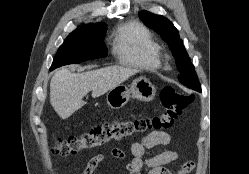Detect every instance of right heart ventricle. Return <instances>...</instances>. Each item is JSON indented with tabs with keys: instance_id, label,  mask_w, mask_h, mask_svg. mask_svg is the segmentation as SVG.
Instances as JSON below:
<instances>
[{
	"instance_id": "obj_1",
	"label": "right heart ventricle",
	"mask_w": 249,
	"mask_h": 174,
	"mask_svg": "<svg viewBox=\"0 0 249 174\" xmlns=\"http://www.w3.org/2000/svg\"><path fill=\"white\" fill-rule=\"evenodd\" d=\"M114 53L118 61L138 69H157L160 48L150 31L137 21H129L114 32Z\"/></svg>"
}]
</instances>
